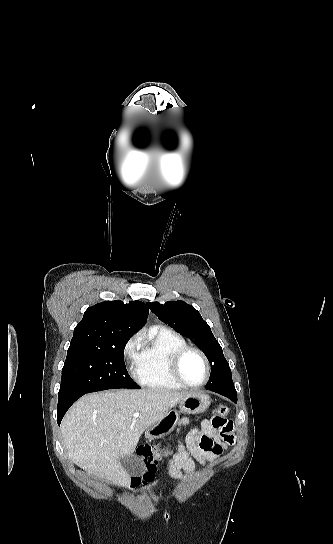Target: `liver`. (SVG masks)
Returning <instances> with one entry per match:
<instances>
[{"mask_svg": "<svg viewBox=\"0 0 333 544\" xmlns=\"http://www.w3.org/2000/svg\"><path fill=\"white\" fill-rule=\"evenodd\" d=\"M187 395L164 389H119L83 396L61 424L68 457L88 473L126 487L130 474L119 457L130 455L142 433ZM136 412L138 418L133 417Z\"/></svg>", "mask_w": 333, "mask_h": 544, "instance_id": "liver-1", "label": "liver"}]
</instances>
